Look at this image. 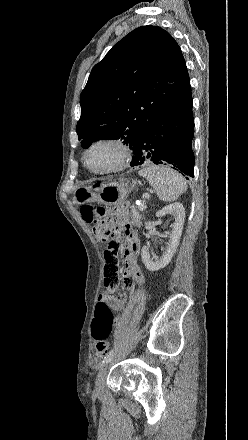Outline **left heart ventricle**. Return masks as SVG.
Instances as JSON below:
<instances>
[{
	"mask_svg": "<svg viewBox=\"0 0 248 440\" xmlns=\"http://www.w3.org/2000/svg\"><path fill=\"white\" fill-rule=\"evenodd\" d=\"M117 150L109 145L95 148L89 155L88 164L93 169H104L111 166L117 159Z\"/></svg>",
	"mask_w": 248,
	"mask_h": 440,
	"instance_id": "obj_1",
	"label": "left heart ventricle"
}]
</instances>
